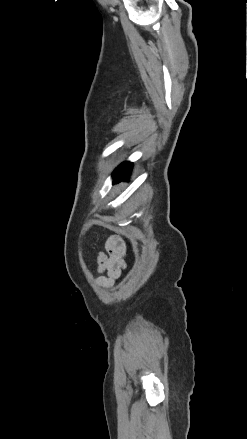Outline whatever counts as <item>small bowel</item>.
<instances>
[{
    "mask_svg": "<svg viewBox=\"0 0 247 439\" xmlns=\"http://www.w3.org/2000/svg\"><path fill=\"white\" fill-rule=\"evenodd\" d=\"M106 253L97 254V270L102 276L98 281L103 286H111L126 267V246L118 236H111L104 242Z\"/></svg>",
    "mask_w": 247,
    "mask_h": 439,
    "instance_id": "1",
    "label": "small bowel"
}]
</instances>
